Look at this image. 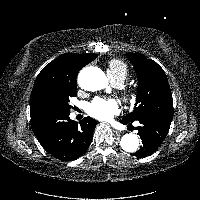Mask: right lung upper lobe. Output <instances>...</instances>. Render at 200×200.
I'll use <instances>...</instances> for the list:
<instances>
[{
    "mask_svg": "<svg viewBox=\"0 0 200 200\" xmlns=\"http://www.w3.org/2000/svg\"><path fill=\"white\" fill-rule=\"evenodd\" d=\"M95 54H65L46 65L37 76L30 98V115L37 95L45 89H60L76 83L79 70L96 59Z\"/></svg>",
    "mask_w": 200,
    "mask_h": 200,
    "instance_id": "cb5924a9",
    "label": "right lung upper lobe"
}]
</instances>
